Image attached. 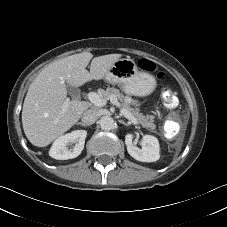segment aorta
<instances>
[{
    "label": "aorta",
    "mask_w": 227,
    "mask_h": 227,
    "mask_svg": "<svg viewBox=\"0 0 227 227\" xmlns=\"http://www.w3.org/2000/svg\"><path fill=\"white\" fill-rule=\"evenodd\" d=\"M99 124L103 130H110L114 128L115 122L111 116H103L101 117Z\"/></svg>",
    "instance_id": "1"
}]
</instances>
